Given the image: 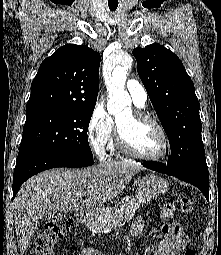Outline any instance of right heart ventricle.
Here are the masks:
<instances>
[{
	"label": "right heart ventricle",
	"mask_w": 221,
	"mask_h": 255,
	"mask_svg": "<svg viewBox=\"0 0 221 255\" xmlns=\"http://www.w3.org/2000/svg\"><path fill=\"white\" fill-rule=\"evenodd\" d=\"M109 148H110V151L112 153H115V152H118L119 151V147H118V144L116 142L115 139H112L111 142H110V145H109Z\"/></svg>",
	"instance_id": "right-heart-ventricle-1"
}]
</instances>
